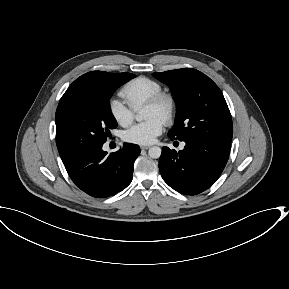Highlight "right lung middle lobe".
I'll list each match as a JSON object with an SVG mask.
<instances>
[{"label":"right lung middle lobe","mask_w":289,"mask_h":289,"mask_svg":"<svg viewBox=\"0 0 289 289\" xmlns=\"http://www.w3.org/2000/svg\"><path fill=\"white\" fill-rule=\"evenodd\" d=\"M131 73L111 74L85 94L60 100L56 110V144L64 164L103 145L110 129L117 127L109 99L121 85L134 78Z\"/></svg>","instance_id":"right-lung-middle-lobe-1"}]
</instances>
